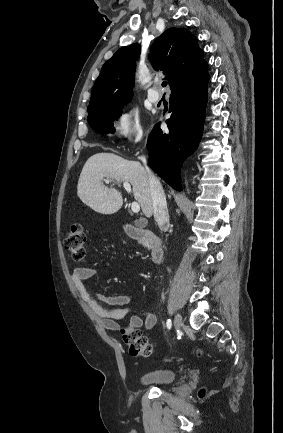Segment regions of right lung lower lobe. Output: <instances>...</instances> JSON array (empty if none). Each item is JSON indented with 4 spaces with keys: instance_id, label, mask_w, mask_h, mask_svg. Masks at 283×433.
<instances>
[{
    "instance_id": "obj_1",
    "label": "right lung lower lobe",
    "mask_w": 283,
    "mask_h": 433,
    "mask_svg": "<svg viewBox=\"0 0 283 433\" xmlns=\"http://www.w3.org/2000/svg\"><path fill=\"white\" fill-rule=\"evenodd\" d=\"M209 75L170 95L169 131L157 124L148 138L150 167L170 186L181 191L180 167L197 148L202 136Z\"/></svg>"
}]
</instances>
